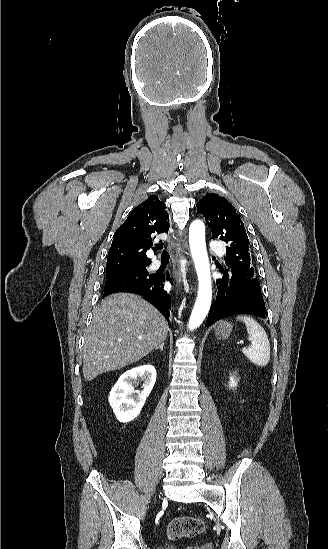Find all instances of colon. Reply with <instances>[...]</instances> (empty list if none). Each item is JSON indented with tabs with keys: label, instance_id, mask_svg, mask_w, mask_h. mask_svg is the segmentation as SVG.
Returning <instances> with one entry per match:
<instances>
[{
	"label": "colon",
	"instance_id": "colon-1",
	"mask_svg": "<svg viewBox=\"0 0 328 549\" xmlns=\"http://www.w3.org/2000/svg\"><path fill=\"white\" fill-rule=\"evenodd\" d=\"M205 523L198 517L180 516L173 519L168 525L167 535L172 540L191 538L202 534ZM186 549H198L196 545H190Z\"/></svg>",
	"mask_w": 328,
	"mask_h": 549
}]
</instances>
